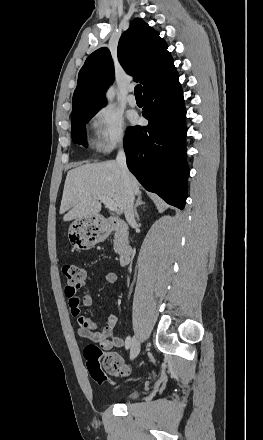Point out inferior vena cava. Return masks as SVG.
I'll return each instance as SVG.
<instances>
[{
	"instance_id": "1",
	"label": "inferior vena cava",
	"mask_w": 263,
	"mask_h": 440,
	"mask_svg": "<svg viewBox=\"0 0 263 440\" xmlns=\"http://www.w3.org/2000/svg\"><path fill=\"white\" fill-rule=\"evenodd\" d=\"M116 162L119 165L123 180H124V214L127 222L132 225L134 219V194L130 187V172L126 164V155L123 148H120L116 156Z\"/></svg>"
}]
</instances>
